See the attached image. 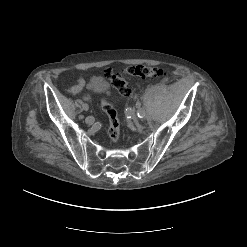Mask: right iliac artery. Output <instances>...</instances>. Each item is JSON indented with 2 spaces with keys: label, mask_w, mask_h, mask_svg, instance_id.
<instances>
[{
  "label": "right iliac artery",
  "mask_w": 247,
  "mask_h": 247,
  "mask_svg": "<svg viewBox=\"0 0 247 247\" xmlns=\"http://www.w3.org/2000/svg\"><path fill=\"white\" fill-rule=\"evenodd\" d=\"M82 108H83L84 110H87V109L89 108V105H88L87 103H84V104L82 105Z\"/></svg>",
  "instance_id": "1"
}]
</instances>
